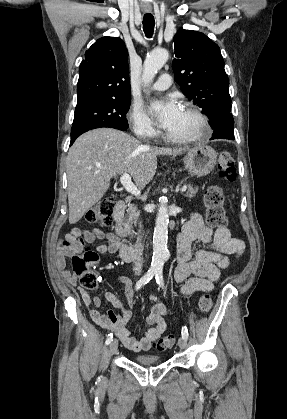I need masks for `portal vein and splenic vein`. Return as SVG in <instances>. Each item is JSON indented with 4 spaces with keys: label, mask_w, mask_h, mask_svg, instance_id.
<instances>
[{
    "label": "portal vein and splenic vein",
    "mask_w": 287,
    "mask_h": 419,
    "mask_svg": "<svg viewBox=\"0 0 287 419\" xmlns=\"http://www.w3.org/2000/svg\"><path fill=\"white\" fill-rule=\"evenodd\" d=\"M120 182L124 186L127 192L131 193L134 196H140L141 191L134 185L129 174L127 173L122 174L120 177ZM186 189H187V186L184 185L180 191L183 193L186 191Z\"/></svg>",
    "instance_id": "1"
}]
</instances>
